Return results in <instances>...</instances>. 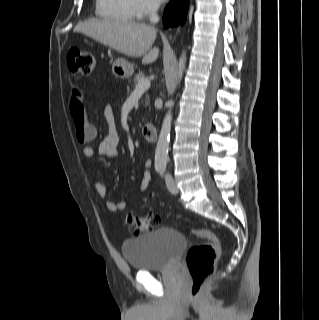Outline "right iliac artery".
Masks as SVG:
<instances>
[{"label": "right iliac artery", "mask_w": 319, "mask_h": 320, "mask_svg": "<svg viewBox=\"0 0 319 320\" xmlns=\"http://www.w3.org/2000/svg\"><path fill=\"white\" fill-rule=\"evenodd\" d=\"M157 170H158V171H160V170H161V168H157Z\"/></svg>", "instance_id": "right-iliac-artery-1"}]
</instances>
